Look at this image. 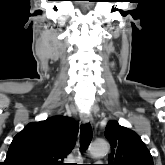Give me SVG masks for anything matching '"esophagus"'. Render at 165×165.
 <instances>
[{
	"instance_id": "1",
	"label": "esophagus",
	"mask_w": 165,
	"mask_h": 165,
	"mask_svg": "<svg viewBox=\"0 0 165 165\" xmlns=\"http://www.w3.org/2000/svg\"><path fill=\"white\" fill-rule=\"evenodd\" d=\"M80 118L84 124L91 123L93 121L92 116L88 113H80Z\"/></svg>"
}]
</instances>
